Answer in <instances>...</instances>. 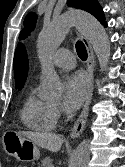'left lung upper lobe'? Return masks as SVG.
<instances>
[{
    "label": "left lung upper lobe",
    "instance_id": "left-lung-upper-lobe-1",
    "mask_svg": "<svg viewBox=\"0 0 125 167\" xmlns=\"http://www.w3.org/2000/svg\"><path fill=\"white\" fill-rule=\"evenodd\" d=\"M68 6L85 10L95 16L101 23H104L105 17L102 8L96 2V0H67ZM36 14L30 12L25 20H24V27L25 29L20 33V39L26 37V34L30 33L36 23Z\"/></svg>",
    "mask_w": 125,
    "mask_h": 167
}]
</instances>
